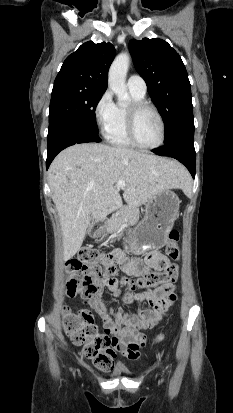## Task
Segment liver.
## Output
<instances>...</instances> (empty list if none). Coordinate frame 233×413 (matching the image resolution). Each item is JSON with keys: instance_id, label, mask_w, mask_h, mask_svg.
I'll return each mask as SVG.
<instances>
[{"instance_id": "liver-1", "label": "liver", "mask_w": 233, "mask_h": 413, "mask_svg": "<svg viewBox=\"0 0 233 413\" xmlns=\"http://www.w3.org/2000/svg\"><path fill=\"white\" fill-rule=\"evenodd\" d=\"M186 178L178 162L129 148L83 143L60 152L49 168V186L60 218L64 260L80 250L92 219L102 221L121 207L118 180L125 181V202L138 207L164 190L182 188Z\"/></svg>"}]
</instances>
